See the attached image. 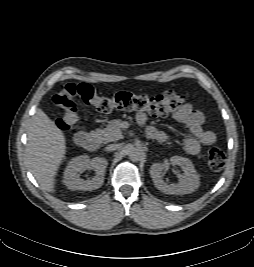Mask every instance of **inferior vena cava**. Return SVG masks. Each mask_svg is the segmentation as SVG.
<instances>
[{"label":"inferior vena cava","mask_w":254,"mask_h":267,"mask_svg":"<svg viewBox=\"0 0 254 267\" xmlns=\"http://www.w3.org/2000/svg\"><path fill=\"white\" fill-rule=\"evenodd\" d=\"M118 148L117 144H110L106 147L107 151H114Z\"/></svg>","instance_id":"obj_1"}]
</instances>
